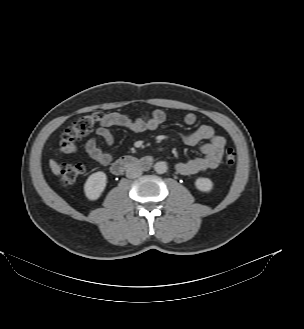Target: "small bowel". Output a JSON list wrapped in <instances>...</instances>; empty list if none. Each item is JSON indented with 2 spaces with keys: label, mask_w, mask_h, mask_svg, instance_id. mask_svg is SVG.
Instances as JSON below:
<instances>
[{
  "label": "small bowel",
  "mask_w": 304,
  "mask_h": 329,
  "mask_svg": "<svg viewBox=\"0 0 304 329\" xmlns=\"http://www.w3.org/2000/svg\"><path fill=\"white\" fill-rule=\"evenodd\" d=\"M167 119V114L161 109L154 110L151 114L132 119L127 115L109 112L107 113L97 128L96 133L104 145H110L113 142L112 127H120L135 133H144L157 130ZM197 117L193 113L184 116L186 125H194ZM180 140L190 146L200 144V151L203 156L193 158L188 161L176 163V170L182 175H196L217 168L222 160L226 139L215 133L209 125H201L193 132L178 133ZM87 154L101 166H108L113 156L105 151L99 143V140L92 138L85 144Z\"/></svg>",
  "instance_id": "c3829d8e"
}]
</instances>
